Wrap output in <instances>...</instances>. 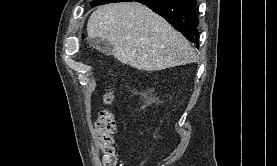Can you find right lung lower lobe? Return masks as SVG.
Segmentation results:
<instances>
[{
	"label": "right lung lower lobe",
	"mask_w": 277,
	"mask_h": 166,
	"mask_svg": "<svg viewBox=\"0 0 277 166\" xmlns=\"http://www.w3.org/2000/svg\"><path fill=\"white\" fill-rule=\"evenodd\" d=\"M140 2L164 17L189 41L198 45L197 14L195 0H112L114 2Z\"/></svg>",
	"instance_id": "98d812e1"
}]
</instances>
